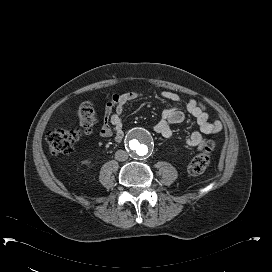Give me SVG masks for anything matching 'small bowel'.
I'll return each instance as SVG.
<instances>
[{
    "label": "small bowel",
    "mask_w": 272,
    "mask_h": 272,
    "mask_svg": "<svg viewBox=\"0 0 272 272\" xmlns=\"http://www.w3.org/2000/svg\"><path fill=\"white\" fill-rule=\"evenodd\" d=\"M141 96L142 93L136 91L113 95L111 101L105 108L104 121L101 130V135L103 137L113 135L116 142H121L123 140L122 110L128 102L138 99ZM161 97L173 101L176 104L175 106L168 107L162 111L161 120L154 127V130L158 135L168 139L172 136L171 125L184 122L186 117L177 107L180 104L181 99L176 93L165 91L161 94ZM186 108L188 113L196 119V122L199 125V130L194 131L186 139V144L191 147L203 149L206 145L204 135L220 132L222 124L220 121L210 122L205 105L195 99H190L187 102Z\"/></svg>",
    "instance_id": "obj_1"
}]
</instances>
